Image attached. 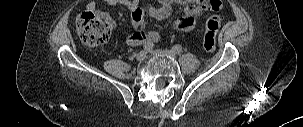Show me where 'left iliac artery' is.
<instances>
[{"label":"left iliac artery","instance_id":"44dca946","mask_svg":"<svg viewBox=\"0 0 303 127\" xmlns=\"http://www.w3.org/2000/svg\"><path fill=\"white\" fill-rule=\"evenodd\" d=\"M172 51L176 54H180L182 52V47L180 45H174Z\"/></svg>","mask_w":303,"mask_h":127}]
</instances>
